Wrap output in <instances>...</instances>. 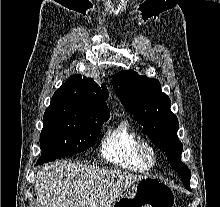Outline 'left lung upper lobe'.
Here are the masks:
<instances>
[{"label": "left lung upper lobe", "mask_w": 220, "mask_h": 207, "mask_svg": "<svg viewBox=\"0 0 220 207\" xmlns=\"http://www.w3.org/2000/svg\"><path fill=\"white\" fill-rule=\"evenodd\" d=\"M113 87L123 106L134 114L155 146L166 154L172 166L180 161L183 146L177 136V117L170 110V98L161 91L160 82L139 76L134 70H124L113 77Z\"/></svg>", "instance_id": "left-lung-upper-lobe-1"}]
</instances>
